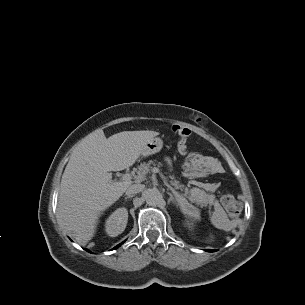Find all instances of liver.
Wrapping results in <instances>:
<instances>
[{
    "mask_svg": "<svg viewBox=\"0 0 305 305\" xmlns=\"http://www.w3.org/2000/svg\"><path fill=\"white\" fill-rule=\"evenodd\" d=\"M155 131H123L106 138L102 130L86 136L71 154L60 184L57 215L79 244L95 234L102 211L117 201L132 181H113L110 171L132 166Z\"/></svg>",
    "mask_w": 305,
    "mask_h": 305,
    "instance_id": "obj_1",
    "label": "liver"
}]
</instances>
